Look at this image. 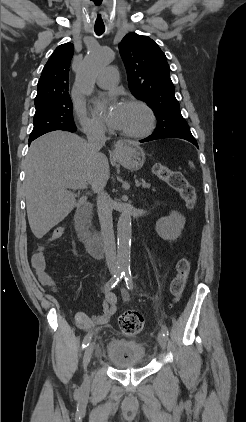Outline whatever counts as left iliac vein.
Masks as SVG:
<instances>
[{
    "instance_id": "1",
    "label": "left iliac vein",
    "mask_w": 246,
    "mask_h": 422,
    "mask_svg": "<svg viewBox=\"0 0 246 422\" xmlns=\"http://www.w3.org/2000/svg\"><path fill=\"white\" fill-rule=\"evenodd\" d=\"M166 342H167V337H165V336L163 335L162 331H161V332H159V334H158V343H159V345H160V347H161L162 349H165V347H166Z\"/></svg>"
}]
</instances>
